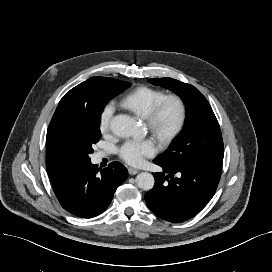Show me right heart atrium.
I'll list each match as a JSON object with an SVG mask.
<instances>
[{
  "mask_svg": "<svg viewBox=\"0 0 272 272\" xmlns=\"http://www.w3.org/2000/svg\"><path fill=\"white\" fill-rule=\"evenodd\" d=\"M113 112L114 105L112 103H107L103 107L99 117V129L101 133H106L109 131Z\"/></svg>",
  "mask_w": 272,
  "mask_h": 272,
  "instance_id": "d8ad5b80",
  "label": "right heart atrium"
}]
</instances>
